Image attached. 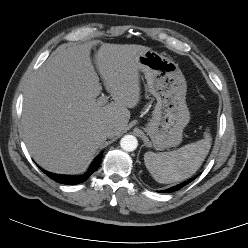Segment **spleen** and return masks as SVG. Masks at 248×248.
Here are the masks:
<instances>
[{
	"instance_id": "spleen-1",
	"label": "spleen",
	"mask_w": 248,
	"mask_h": 248,
	"mask_svg": "<svg viewBox=\"0 0 248 248\" xmlns=\"http://www.w3.org/2000/svg\"><path fill=\"white\" fill-rule=\"evenodd\" d=\"M204 139L187 144L175 151L146 152L145 166L159 183H174L191 177L202 165L211 147V136L205 132Z\"/></svg>"
}]
</instances>
